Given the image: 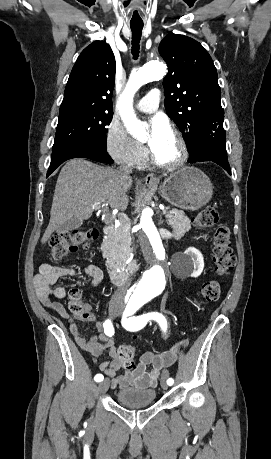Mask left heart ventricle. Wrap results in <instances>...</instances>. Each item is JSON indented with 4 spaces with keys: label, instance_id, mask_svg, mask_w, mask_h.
<instances>
[{
    "label": "left heart ventricle",
    "instance_id": "obj_1",
    "mask_svg": "<svg viewBox=\"0 0 271 459\" xmlns=\"http://www.w3.org/2000/svg\"><path fill=\"white\" fill-rule=\"evenodd\" d=\"M146 141L151 150L160 158L168 159L176 153V144L170 132L161 136L154 143L151 141L150 133H148Z\"/></svg>",
    "mask_w": 271,
    "mask_h": 459
}]
</instances>
